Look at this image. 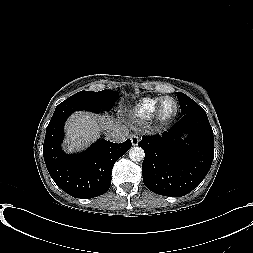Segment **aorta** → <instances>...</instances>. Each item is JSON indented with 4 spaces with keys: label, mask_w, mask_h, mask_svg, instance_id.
Returning <instances> with one entry per match:
<instances>
[{
    "label": "aorta",
    "mask_w": 253,
    "mask_h": 253,
    "mask_svg": "<svg viewBox=\"0 0 253 253\" xmlns=\"http://www.w3.org/2000/svg\"><path fill=\"white\" fill-rule=\"evenodd\" d=\"M129 157L134 162H140L145 157L144 150L139 146L132 147L129 150Z\"/></svg>",
    "instance_id": "1"
}]
</instances>
